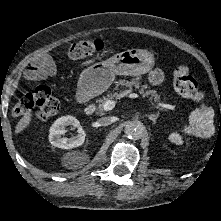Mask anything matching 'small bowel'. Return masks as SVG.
<instances>
[{"mask_svg":"<svg viewBox=\"0 0 221 221\" xmlns=\"http://www.w3.org/2000/svg\"><path fill=\"white\" fill-rule=\"evenodd\" d=\"M57 69L54 61L46 54H40L36 56L31 66L26 72V79L28 81L45 80L52 78L56 75ZM163 79V73L156 69L151 72L150 80L151 82L157 84Z\"/></svg>","mask_w":221,"mask_h":221,"instance_id":"1","label":"small bowel"}]
</instances>
